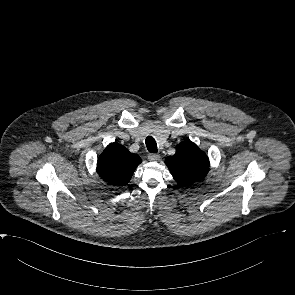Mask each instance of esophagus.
Returning <instances> with one entry per match:
<instances>
[{
    "mask_svg": "<svg viewBox=\"0 0 295 295\" xmlns=\"http://www.w3.org/2000/svg\"><path fill=\"white\" fill-rule=\"evenodd\" d=\"M148 160L149 161H154V162L159 161L160 160V155L154 154V153H150L148 155Z\"/></svg>",
    "mask_w": 295,
    "mask_h": 295,
    "instance_id": "34e87169",
    "label": "esophagus"
}]
</instances>
